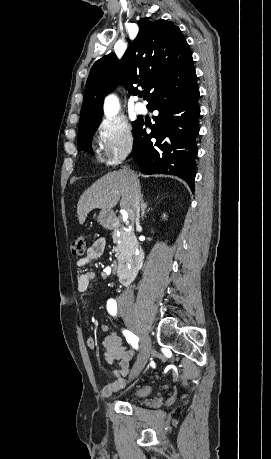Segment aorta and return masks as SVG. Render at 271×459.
<instances>
[{"mask_svg": "<svg viewBox=\"0 0 271 459\" xmlns=\"http://www.w3.org/2000/svg\"><path fill=\"white\" fill-rule=\"evenodd\" d=\"M118 100L115 96H109L105 100L104 111L108 117H112L116 114L118 110Z\"/></svg>", "mask_w": 271, "mask_h": 459, "instance_id": "762f6f07", "label": "aorta"}]
</instances>
